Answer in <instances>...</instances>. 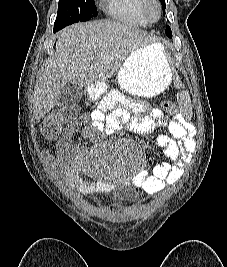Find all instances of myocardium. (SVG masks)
Instances as JSON below:
<instances>
[{"label":"myocardium","instance_id":"1","mask_svg":"<svg viewBox=\"0 0 227 267\" xmlns=\"http://www.w3.org/2000/svg\"><path fill=\"white\" fill-rule=\"evenodd\" d=\"M144 12L149 21H156L161 17V5L159 0H146Z\"/></svg>","mask_w":227,"mask_h":267}]
</instances>
